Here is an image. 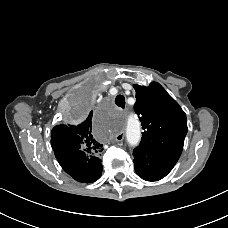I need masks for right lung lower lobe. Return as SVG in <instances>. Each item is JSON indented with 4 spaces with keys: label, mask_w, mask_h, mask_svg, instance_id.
Masks as SVG:
<instances>
[{
    "label": "right lung lower lobe",
    "mask_w": 228,
    "mask_h": 228,
    "mask_svg": "<svg viewBox=\"0 0 228 228\" xmlns=\"http://www.w3.org/2000/svg\"><path fill=\"white\" fill-rule=\"evenodd\" d=\"M94 158L95 162H94V168H93V172L91 174H85L83 172H80L81 170H77L73 164L74 162V158L73 157H66L63 159L58 160V162L60 163V165L62 166V168L70 175L72 176L75 180L79 181V182H94L96 181L102 173V165H101V160L97 157H90L86 160L87 163H89L91 161V159Z\"/></svg>",
    "instance_id": "right-lung-lower-lobe-1"
}]
</instances>
